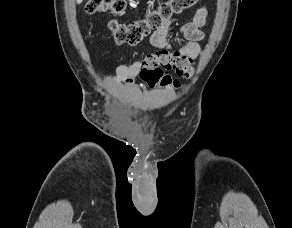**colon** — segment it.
Returning a JSON list of instances; mask_svg holds the SVG:
<instances>
[{
    "instance_id": "5ec220e1",
    "label": "colon",
    "mask_w": 292,
    "mask_h": 228,
    "mask_svg": "<svg viewBox=\"0 0 292 228\" xmlns=\"http://www.w3.org/2000/svg\"><path fill=\"white\" fill-rule=\"evenodd\" d=\"M197 2L198 0H162L144 17L129 24L111 21L109 28L118 44L136 46L165 20H169L173 14L189 9ZM126 8V0H89L86 4V11L89 14L107 12L122 15ZM162 69L174 70L178 75L186 78H190L193 74L192 66L186 64L176 53L156 52L143 60V67L139 75L150 86L160 83L161 85L173 84L174 87H180L178 81L164 76Z\"/></svg>"
}]
</instances>
